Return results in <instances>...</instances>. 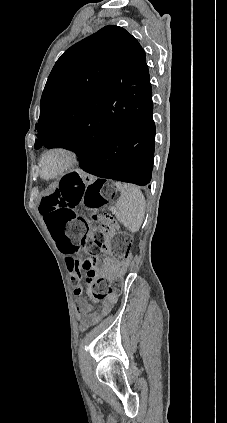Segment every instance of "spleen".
<instances>
[{"mask_svg":"<svg viewBox=\"0 0 227 423\" xmlns=\"http://www.w3.org/2000/svg\"><path fill=\"white\" fill-rule=\"evenodd\" d=\"M121 196L116 204L115 215L129 231H138L144 219L146 202L140 190L132 184H116Z\"/></svg>","mask_w":227,"mask_h":423,"instance_id":"1","label":"spleen"}]
</instances>
